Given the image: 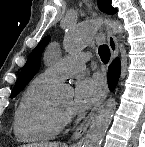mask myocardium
Here are the masks:
<instances>
[{
    "instance_id": "obj_1",
    "label": "myocardium",
    "mask_w": 145,
    "mask_h": 147,
    "mask_svg": "<svg viewBox=\"0 0 145 147\" xmlns=\"http://www.w3.org/2000/svg\"><path fill=\"white\" fill-rule=\"evenodd\" d=\"M53 106H54V110L56 114L62 120V122L69 120V117H70L69 110L61 109L56 103H54Z\"/></svg>"
}]
</instances>
